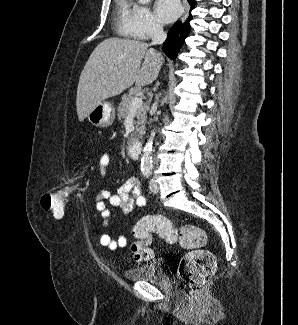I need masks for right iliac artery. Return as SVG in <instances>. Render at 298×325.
<instances>
[{
	"label": "right iliac artery",
	"mask_w": 298,
	"mask_h": 325,
	"mask_svg": "<svg viewBox=\"0 0 298 325\" xmlns=\"http://www.w3.org/2000/svg\"><path fill=\"white\" fill-rule=\"evenodd\" d=\"M144 176H145V178H149L150 173L149 172H144Z\"/></svg>",
	"instance_id": "1"
}]
</instances>
